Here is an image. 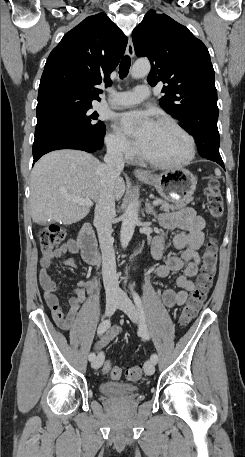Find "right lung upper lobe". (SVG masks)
<instances>
[{"mask_svg":"<svg viewBox=\"0 0 245 457\" xmlns=\"http://www.w3.org/2000/svg\"><path fill=\"white\" fill-rule=\"evenodd\" d=\"M128 38L107 17H87L66 33L50 53L41 77L37 112L65 101H100L96 86L110 82Z\"/></svg>","mask_w":245,"mask_h":457,"instance_id":"cb5924a9","label":"right lung upper lobe"}]
</instances>
